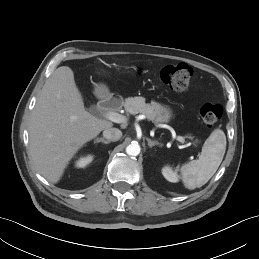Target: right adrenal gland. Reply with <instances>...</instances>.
Listing matches in <instances>:
<instances>
[{"mask_svg":"<svg viewBox=\"0 0 259 259\" xmlns=\"http://www.w3.org/2000/svg\"><path fill=\"white\" fill-rule=\"evenodd\" d=\"M94 142L95 143L102 142L103 144H109L110 143V141L105 140L104 138H96V140Z\"/></svg>","mask_w":259,"mask_h":259,"instance_id":"1","label":"right adrenal gland"}]
</instances>
